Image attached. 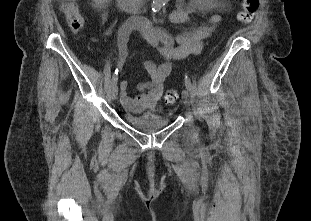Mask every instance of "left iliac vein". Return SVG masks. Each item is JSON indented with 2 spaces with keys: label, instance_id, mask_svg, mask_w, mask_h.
Returning a JSON list of instances; mask_svg holds the SVG:
<instances>
[{
  "label": "left iliac vein",
  "instance_id": "4c4485c4",
  "mask_svg": "<svg viewBox=\"0 0 311 221\" xmlns=\"http://www.w3.org/2000/svg\"><path fill=\"white\" fill-rule=\"evenodd\" d=\"M182 100H183V103L187 106L190 105V93L188 90L184 89L182 91Z\"/></svg>",
  "mask_w": 311,
  "mask_h": 221
}]
</instances>
